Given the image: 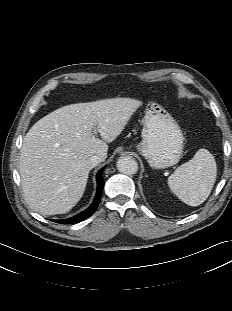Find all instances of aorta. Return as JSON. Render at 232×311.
Wrapping results in <instances>:
<instances>
[{
    "instance_id": "762f6f07",
    "label": "aorta",
    "mask_w": 232,
    "mask_h": 311,
    "mask_svg": "<svg viewBox=\"0 0 232 311\" xmlns=\"http://www.w3.org/2000/svg\"><path fill=\"white\" fill-rule=\"evenodd\" d=\"M116 165L118 171L126 175H133L138 171V163L131 156L119 158Z\"/></svg>"
}]
</instances>
